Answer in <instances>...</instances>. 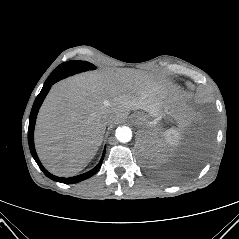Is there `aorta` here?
Segmentation results:
<instances>
[{
    "instance_id": "aorta-1",
    "label": "aorta",
    "mask_w": 239,
    "mask_h": 239,
    "mask_svg": "<svg viewBox=\"0 0 239 239\" xmlns=\"http://www.w3.org/2000/svg\"><path fill=\"white\" fill-rule=\"evenodd\" d=\"M118 141L127 143L132 139V131L127 126L118 127L115 132Z\"/></svg>"
}]
</instances>
